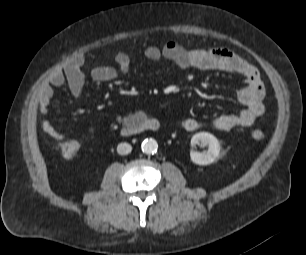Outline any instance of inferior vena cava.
<instances>
[{"mask_svg":"<svg viewBox=\"0 0 306 255\" xmlns=\"http://www.w3.org/2000/svg\"><path fill=\"white\" fill-rule=\"evenodd\" d=\"M131 150H132V146L128 143H120L117 146V152L120 155H127L131 152Z\"/></svg>","mask_w":306,"mask_h":255,"instance_id":"obj_1","label":"inferior vena cava"}]
</instances>
